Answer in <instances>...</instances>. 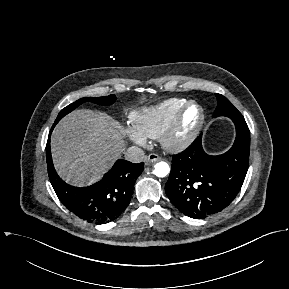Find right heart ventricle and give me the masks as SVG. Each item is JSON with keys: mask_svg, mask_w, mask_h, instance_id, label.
<instances>
[{"mask_svg": "<svg viewBox=\"0 0 289 289\" xmlns=\"http://www.w3.org/2000/svg\"><path fill=\"white\" fill-rule=\"evenodd\" d=\"M186 102L184 98H170L154 106L140 109L132 115L135 127L146 137L157 139L172 124Z\"/></svg>", "mask_w": 289, "mask_h": 289, "instance_id": "e07e8e85", "label": "right heart ventricle"}]
</instances>
